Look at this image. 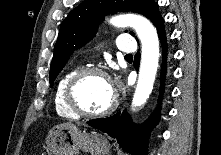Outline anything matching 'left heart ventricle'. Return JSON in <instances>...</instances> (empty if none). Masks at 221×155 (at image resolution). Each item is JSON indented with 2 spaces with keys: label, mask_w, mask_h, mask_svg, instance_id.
I'll use <instances>...</instances> for the list:
<instances>
[{
  "label": "left heart ventricle",
  "mask_w": 221,
  "mask_h": 155,
  "mask_svg": "<svg viewBox=\"0 0 221 155\" xmlns=\"http://www.w3.org/2000/svg\"><path fill=\"white\" fill-rule=\"evenodd\" d=\"M75 97L79 105L86 111L99 112L112 102L114 89L106 77L90 75L79 83Z\"/></svg>",
  "instance_id": "b2bd125f"
}]
</instances>
